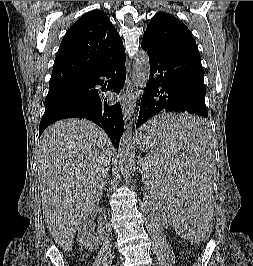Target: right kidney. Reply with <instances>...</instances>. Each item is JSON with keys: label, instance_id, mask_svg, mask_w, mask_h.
Wrapping results in <instances>:
<instances>
[{"label": "right kidney", "instance_id": "right-kidney-1", "mask_svg": "<svg viewBox=\"0 0 253 266\" xmlns=\"http://www.w3.org/2000/svg\"><path fill=\"white\" fill-rule=\"evenodd\" d=\"M94 216L87 218L78 227V241L79 244L87 249L94 250L98 248L102 242V234L93 235L92 231L94 229Z\"/></svg>", "mask_w": 253, "mask_h": 266}]
</instances>
